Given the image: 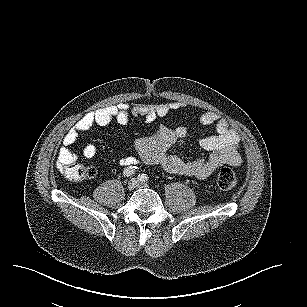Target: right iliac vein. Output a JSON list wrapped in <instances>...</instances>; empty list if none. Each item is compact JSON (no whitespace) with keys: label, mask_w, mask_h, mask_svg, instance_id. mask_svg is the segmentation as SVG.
I'll return each mask as SVG.
<instances>
[{"label":"right iliac vein","mask_w":307,"mask_h":307,"mask_svg":"<svg viewBox=\"0 0 307 307\" xmlns=\"http://www.w3.org/2000/svg\"><path fill=\"white\" fill-rule=\"evenodd\" d=\"M137 182H138V180H137L136 178H132V179L128 182V184H127L128 190L132 191V190L135 188V186L137 185Z\"/></svg>","instance_id":"1"}]
</instances>
